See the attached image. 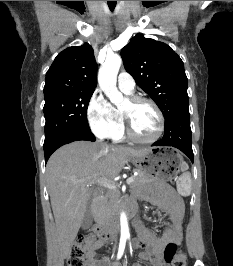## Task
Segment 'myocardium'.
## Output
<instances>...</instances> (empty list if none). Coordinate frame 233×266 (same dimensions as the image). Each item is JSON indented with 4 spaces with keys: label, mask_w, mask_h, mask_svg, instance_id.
Here are the masks:
<instances>
[{
    "label": "myocardium",
    "mask_w": 233,
    "mask_h": 266,
    "mask_svg": "<svg viewBox=\"0 0 233 266\" xmlns=\"http://www.w3.org/2000/svg\"><path fill=\"white\" fill-rule=\"evenodd\" d=\"M128 102L132 106H135L141 103L150 104L156 111L158 120H159L158 130L156 134L151 138H141L137 136L136 133L134 132L129 115L125 111L121 110L122 118L125 124V131H126L128 138L136 143H142V144H151V143L158 141L163 135V132L165 129V118L158 104L154 100L147 98V97H142V96H132L128 98Z\"/></svg>",
    "instance_id": "myocardium-1"
}]
</instances>
